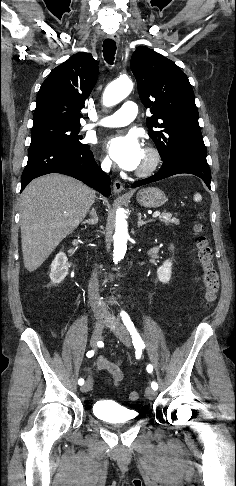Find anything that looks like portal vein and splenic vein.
I'll return each instance as SVG.
<instances>
[{"label": "portal vein and splenic vein", "instance_id": "obj_1", "mask_svg": "<svg viewBox=\"0 0 236 486\" xmlns=\"http://www.w3.org/2000/svg\"><path fill=\"white\" fill-rule=\"evenodd\" d=\"M158 216H160V212H159V211L154 212V214H153V218H156V217H158Z\"/></svg>", "mask_w": 236, "mask_h": 486}]
</instances>
